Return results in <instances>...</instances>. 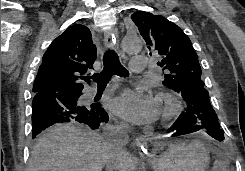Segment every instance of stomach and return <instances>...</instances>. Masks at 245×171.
Masks as SVG:
<instances>
[{
    "mask_svg": "<svg viewBox=\"0 0 245 171\" xmlns=\"http://www.w3.org/2000/svg\"><path fill=\"white\" fill-rule=\"evenodd\" d=\"M212 147L200 140L171 145L161 156L150 160L155 171H206Z\"/></svg>",
    "mask_w": 245,
    "mask_h": 171,
    "instance_id": "0dacf381",
    "label": "stomach"
}]
</instances>
